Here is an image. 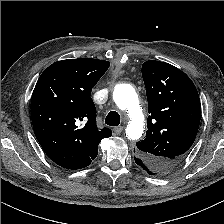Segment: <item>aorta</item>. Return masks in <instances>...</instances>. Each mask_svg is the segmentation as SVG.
Wrapping results in <instances>:
<instances>
[{"label": "aorta", "mask_w": 224, "mask_h": 224, "mask_svg": "<svg viewBox=\"0 0 224 224\" xmlns=\"http://www.w3.org/2000/svg\"><path fill=\"white\" fill-rule=\"evenodd\" d=\"M113 100L120 110L127 112L130 119L125 129L127 138L139 139L144 130V116L135 89L129 84H118L113 91Z\"/></svg>", "instance_id": "1"}]
</instances>
